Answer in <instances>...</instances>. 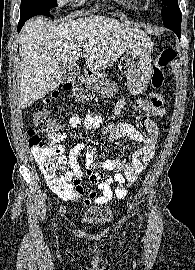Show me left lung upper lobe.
<instances>
[{"instance_id":"left-lung-upper-lobe-1","label":"left lung upper lobe","mask_w":195,"mask_h":270,"mask_svg":"<svg viewBox=\"0 0 195 270\" xmlns=\"http://www.w3.org/2000/svg\"><path fill=\"white\" fill-rule=\"evenodd\" d=\"M162 3L161 16L164 26L172 31L180 30L182 14L178 6V0H162Z\"/></svg>"}]
</instances>
